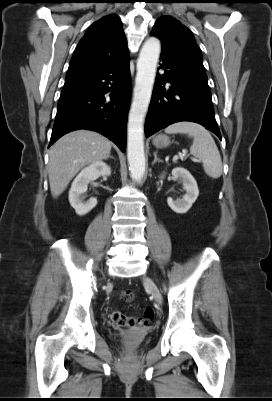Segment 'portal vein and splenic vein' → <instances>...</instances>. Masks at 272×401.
Wrapping results in <instances>:
<instances>
[{"label": "portal vein and splenic vein", "instance_id": "18ae733b", "mask_svg": "<svg viewBox=\"0 0 272 401\" xmlns=\"http://www.w3.org/2000/svg\"><path fill=\"white\" fill-rule=\"evenodd\" d=\"M185 156H186V153L184 152V153H182V154H179V156H176L175 159L183 158V157H185ZM192 160L195 161V162H200V160L197 159V158H192Z\"/></svg>", "mask_w": 272, "mask_h": 401}]
</instances>
